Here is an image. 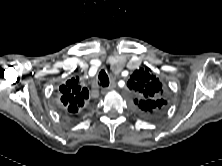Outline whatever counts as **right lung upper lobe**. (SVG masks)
I'll return each instance as SVG.
<instances>
[{
	"mask_svg": "<svg viewBox=\"0 0 222 166\" xmlns=\"http://www.w3.org/2000/svg\"><path fill=\"white\" fill-rule=\"evenodd\" d=\"M60 91L62 93L61 100L65 103V105H69V108L77 109L78 105L84 104V99L88 97V90L86 88L81 89L78 81L74 78H71L66 82V84L60 87Z\"/></svg>",
	"mask_w": 222,
	"mask_h": 166,
	"instance_id": "right-lung-upper-lobe-1",
	"label": "right lung upper lobe"
}]
</instances>
